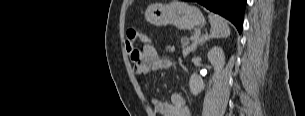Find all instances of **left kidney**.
<instances>
[{
  "instance_id": "1",
  "label": "left kidney",
  "mask_w": 305,
  "mask_h": 116,
  "mask_svg": "<svg viewBox=\"0 0 305 116\" xmlns=\"http://www.w3.org/2000/svg\"><path fill=\"white\" fill-rule=\"evenodd\" d=\"M208 60L214 67L215 73L213 76V80L217 78L224 65H225V55L223 52V49L221 47H213L209 52H208ZM189 88L191 93L194 96H197L202 90L205 88V83L203 82L202 78L194 73L191 75L190 80H189Z\"/></svg>"
}]
</instances>
